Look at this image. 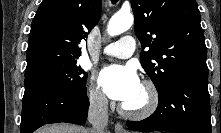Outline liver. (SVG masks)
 <instances>
[{
  "label": "liver",
  "mask_w": 221,
  "mask_h": 133,
  "mask_svg": "<svg viewBox=\"0 0 221 133\" xmlns=\"http://www.w3.org/2000/svg\"><path fill=\"white\" fill-rule=\"evenodd\" d=\"M37 133H90L89 130L67 123L47 125L37 131Z\"/></svg>",
  "instance_id": "obj_1"
}]
</instances>
